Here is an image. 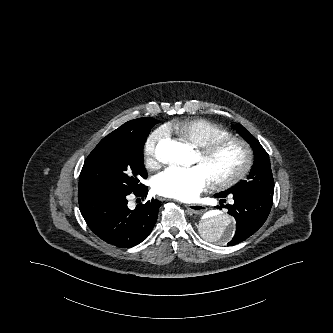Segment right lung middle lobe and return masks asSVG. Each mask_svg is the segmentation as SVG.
Here are the masks:
<instances>
[{"label":"right lung middle lobe","mask_w":333,"mask_h":333,"mask_svg":"<svg viewBox=\"0 0 333 333\" xmlns=\"http://www.w3.org/2000/svg\"><path fill=\"white\" fill-rule=\"evenodd\" d=\"M160 121L147 117L133 135H107L87 157L79 176V195L103 191L135 192L147 178L143 146Z\"/></svg>","instance_id":"1"}]
</instances>
